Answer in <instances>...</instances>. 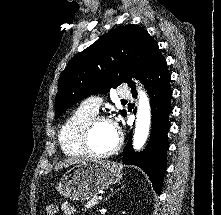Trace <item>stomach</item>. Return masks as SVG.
Returning <instances> with one entry per match:
<instances>
[{"instance_id": "obj_1", "label": "stomach", "mask_w": 221, "mask_h": 215, "mask_svg": "<svg viewBox=\"0 0 221 215\" xmlns=\"http://www.w3.org/2000/svg\"><path fill=\"white\" fill-rule=\"evenodd\" d=\"M122 178L120 167L113 162L89 159L68 170L56 190L64 197L85 201Z\"/></svg>"}]
</instances>
